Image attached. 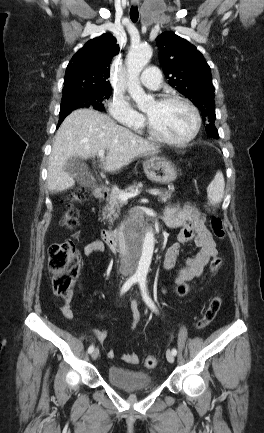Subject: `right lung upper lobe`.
I'll return each instance as SVG.
<instances>
[{
    "instance_id": "right-lung-upper-lobe-1",
    "label": "right lung upper lobe",
    "mask_w": 264,
    "mask_h": 433,
    "mask_svg": "<svg viewBox=\"0 0 264 433\" xmlns=\"http://www.w3.org/2000/svg\"><path fill=\"white\" fill-rule=\"evenodd\" d=\"M119 51L116 38L110 33L88 41L67 66L63 97L75 92L111 87L109 67Z\"/></svg>"
}]
</instances>
